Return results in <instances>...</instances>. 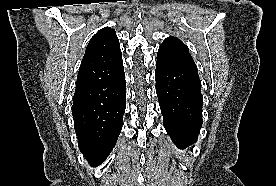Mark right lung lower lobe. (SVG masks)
Returning a JSON list of instances; mask_svg holds the SVG:
<instances>
[{"instance_id":"98d812e1","label":"right lung lower lobe","mask_w":276,"mask_h":186,"mask_svg":"<svg viewBox=\"0 0 276 186\" xmlns=\"http://www.w3.org/2000/svg\"><path fill=\"white\" fill-rule=\"evenodd\" d=\"M125 73L109 83L76 88L72 115L80 151L92 166L114 148L126 108Z\"/></svg>"}]
</instances>
